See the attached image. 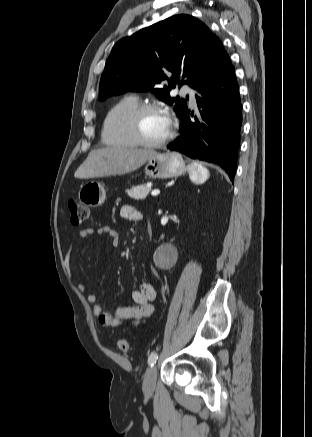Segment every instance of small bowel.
<instances>
[{"instance_id":"obj_1","label":"small bowel","mask_w":312,"mask_h":437,"mask_svg":"<svg viewBox=\"0 0 312 437\" xmlns=\"http://www.w3.org/2000/svg\"><path fill=\"white\" fill-rule=\"evenodd\" d=\"M120 214L124 219L131 221H140L142 214L132 205H123ZM97 233L99 235H107L112 239L114 246L120 245V235L111 226H101L96 231L91 228L80 231L78 238L80 240ZM80 290L84 289L82 284H78ZM134 306H119L115 311H107L98 302L99 295L93 291L88 295V301L93 304V314L97 318L100 325L105 327H114L122 324H130L140 326L151 318L155 313L154 301L156 293L153 286L148 282H142L133 292Z\"/></svg>"}]
</instances>
